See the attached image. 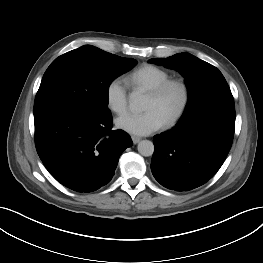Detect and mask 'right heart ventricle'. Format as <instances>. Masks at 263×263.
I'll use <instances>...</instances> for the list:
<instances>
[{
	"mask_svg": "<svg viewBox=\"0 0 263 263\" xmlns=\"http://www.w3.org/2000/svg\"><path fill=\"white\" fill-rule=\"evenodd\" d=\"M170 75L164 69L155 65H143L126 76L129 84L136 88H143L147 91L157 87L168 80Z\"/></svg>",
	"mask_w": 263,
	"mask_h": 263,
	"instance_id": "right-heart-ventricle-1",
	"label": "right heart ventricle"
}]
</instances>
